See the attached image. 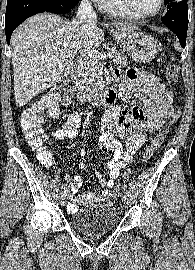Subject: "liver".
Wrapping results in <instances>:
<instances>
[{"mask_svg": "<svg viewBox=\"0 0 195 270\" xmlns=\"http://www.w3.org/2000/svg\"><path fill=\"white\" fill-rule=\"evenodd\" d=\"M114 26L121 31L135 30L119 22ZM103 40L97 22L83 29L77 20L67 22L50 13L27 19L11 37L16 104L24 106L60 83L69 75L74 58L96 49Z\"/></svg>", "mask_w": 195, "mask_h": 270, "instance_id": "obj_1", "label": "liver"}]
</instances>
